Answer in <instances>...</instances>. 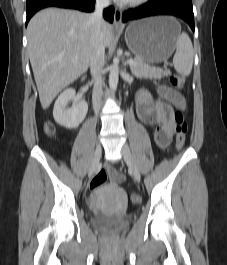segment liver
Masks as SVG:
<instances>
[{
  "label": "liver",
  "mask_w": 227,
  "mask_h": 265,
  "mask_svg": "<svg viewBox=\"0 0 227 265\" xmlns=\"http://www.w3.org/2000/svg\"><path fill=\"white\" fill-rule=\"evenodd\" d=\"M89 17L79 11L48 8L35 14L28 24V53L44 110L89 67L92 32ZM102 32L104 45L109 47L113 27L104 21Z\"/></svg>",
  "instance_id": "obj_1"
}]
</instances>
